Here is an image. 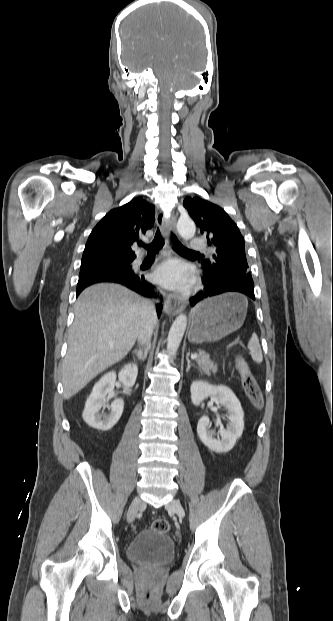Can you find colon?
Returning a JSON list of instances; mask_svg holds the SVG:
<instances>
[{"instance_id":"5ec220e1","label":"colon","mask_w":333,"mask_h":621,"mask_svg":"<svg viewBox=\"0 0 333 621\" xmlns=\"http://www.w3.org/2000/svg\"><path fill=\"white\" fill-rule=\"evenodd\" d=\"M237 366L241 374L242 385H243L244 391L248 399L251 401V403L255 407H261L262 402H263V397H262L260 386L257 380L255 379V377L253 376V374L251 373L246 360L240 354L237 356ZM152 528L153 530H156L162 533H167L170 529V525L166 519L161 518L153 522ZM144 597L146 600L150 599L151 597L150 590L145 591Z\"/></svg>"}]
</instances>
